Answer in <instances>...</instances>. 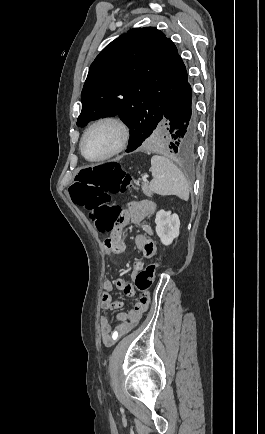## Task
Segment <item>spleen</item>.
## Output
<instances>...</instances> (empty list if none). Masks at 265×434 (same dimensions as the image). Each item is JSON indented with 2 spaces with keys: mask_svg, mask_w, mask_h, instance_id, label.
<instances>
[{
  "mask_svg": "<svg viewBox=\"0 0 265 434\" xmlns=\"http://www.w3.org/2000/svg\"><path fill=\"white\" fill-rule=\"evenodd\" d=\"M153 176L149 184L151 192L160 196H178L189 200L188 182L181 170L166 156H153L150 168Z\"/></svg>",
  "mask_w": 265,
  "mask_h": 434,
  "instance_id": "obj_1",
  "label": "spleen"
}]
</instances>
